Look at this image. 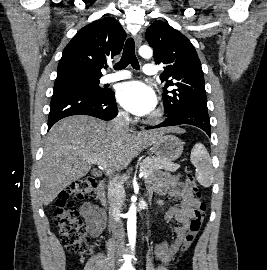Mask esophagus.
<instances>
[{"mask_svg": "<svg viewBox=\"0 0 267 270\" xmlns=\"http://www.w3.org/2000/svg\"><path fill=\"white\" fill-rule=\"evenodd\" d=\"M141 43H142V35L139 33V34H137L135 36V45H136V47L139 48Z\"/></svg>", "mask_w": 267, "mask_h": 270, "instance_id": "esophagus-1", "label": "esophagus"}]
</instances>
